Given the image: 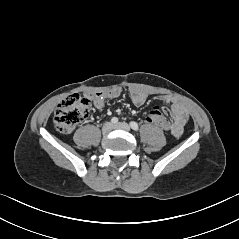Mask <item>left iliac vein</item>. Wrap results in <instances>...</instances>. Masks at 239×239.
Instances as JSON below:
<instances>
[{"instance_id": "4c4485c4", "label": "left iliac vein", "mask_w": 239, "mask_h": 239, "mask_svg": "<svg viewBox=\"0 0 239 239\" xmlns=\"http://www.w3.org/2000/svg\"><path fill=\"white\" fill-rule=\"evenodd\" d=\"M114 128L120 129V130H125V131H130V126L125 122L117 123L116 125H114Z\"/></svg>"}]
</instances>
